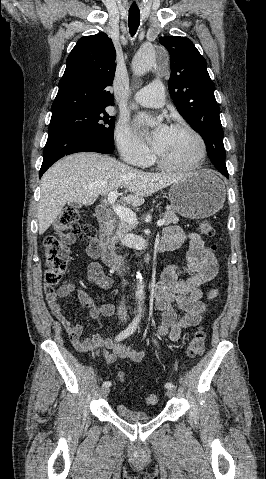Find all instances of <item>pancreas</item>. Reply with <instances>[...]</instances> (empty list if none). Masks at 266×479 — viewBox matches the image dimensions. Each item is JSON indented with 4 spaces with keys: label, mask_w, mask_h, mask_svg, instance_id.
Wrapping results in <instances>:
<instances>
[{
    "label": "pancreas",
    "mask_w": 266,
    "mask_h": 479,
    "mask_svg": "<svg viewBox=\"0 0 266 479\" xmlns=\"http://www.w3.org/2000/svg\"><path fill=\"white\" fill-rule=\"evenodd\" d=\"M163 219H165V225L176 224L179 221L173 209H168L163 214ZM133 228L134 226L132 224L125 222L121 218H119L117 223L113 222L112 230L107 235L108 247L113 248L116 242L118 241L123 242V240L126 238L127 233L131 231Z\"/></svg>",
    "instance_id": "pancreas-1"
}]
</instances>
